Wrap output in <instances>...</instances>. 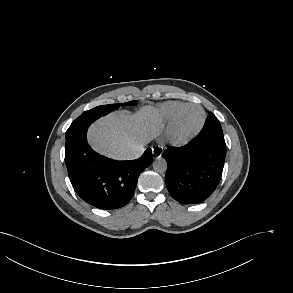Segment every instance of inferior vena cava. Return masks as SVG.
<instances>
[{"mask_svg":"<svg viewBox=\"0 0 293 293\" xmlns=\"http://www.w3.org/2000/svg\"><path fill=\"white\" fill-rule=\"evenodd\" d=\"M143 152H144V147L143 146L137 147L135 149L128 150L125 153L124 159L125 160L137 159L143 154Z\"/></svg>","mask_w":293,"mask_h":293,"instance_id":"obj_1","label":"inferior vena cava"}]
</instances>
